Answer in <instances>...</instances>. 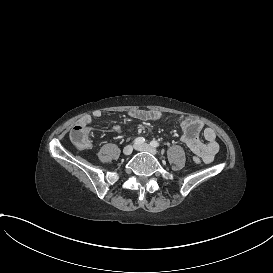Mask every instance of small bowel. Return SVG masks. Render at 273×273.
<instances>
[{"label":"small bowel","mask_w":273,"mask_h":273,"mask_svg":"<svg viewBox=\"0 0 273 273\" xmlns=\"http://www.w3.org/2000/svg\"><path fill=\"white\" fill-rule=\"evenodd\" d=\"M103 115L101 110H95L92 115L88 116L92 118H101ZM163 114L157 110L137 109L128 112V117L132 120L140 121H154L162 118ZM174 120L178 121L181 126L180 139L187 146V141L191 137H198L205 143V150L201 154H196L202 158L205 163L213 162L215 155L218 152L219 145L216 140V132L210 127H205L204 123L197 118L191 116H178ZM114 131H120L121 127L115 125Z\"/></svg>","instance_id":"small-bowel-1"}]
</instances>
